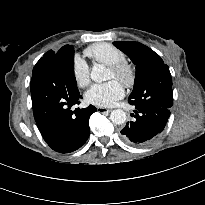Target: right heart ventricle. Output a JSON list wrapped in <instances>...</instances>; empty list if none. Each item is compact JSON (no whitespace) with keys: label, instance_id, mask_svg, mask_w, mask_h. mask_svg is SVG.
Wrapping results in <instances>:
<instances>
[{"label":"right heart ventricle","instance_id":"1","mask_svg":"<svg viewBox=\"0 0 205 205\" xmlns=\"http://www.w3.org/2000/svg\"><path fill=\"white\" fill-rule=\"evenodd\" d=\"M85 54L94 63H100L107 66L126 61L125 53L107 42H99L90 45L85 49Z\"/></svg>","mask_w":205,"mask_h":205}]
</instances>
